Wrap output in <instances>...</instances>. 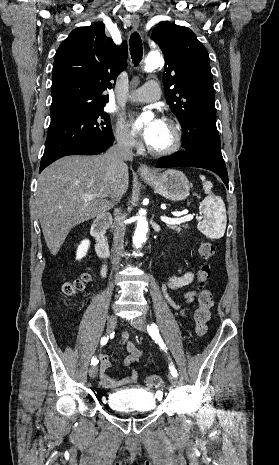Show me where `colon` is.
<instances>
[{
  "label": "colon",
  "instance_id": "obj_1",
  "mask_svg": "<svg viewBox=\"0 0 279 465\" xmlns=\"http://www.w3.org/2000/svg\"><path fill=\"white\" fill-rule=\"evenodd\" d=\"M198 252L200 256L208 260L215 254V247L209 241H202L199 245ZM211 268L208 264L200 267L197 280H198V307L194 312L195 332L199 337H203L207 333V322L210 319V309L213 306L212 293L204 288L205 282L210 278ZM90 280V275L87 272L80 273L74 280L65 282L61 291L65 296H75L81 292L87 282ZM164 384V380L159 375H150L146 378V385L149 388L157 389Z\"/></svg>",
  "mask_w": 279,
  "mask_h": 465
}]
</instances>
